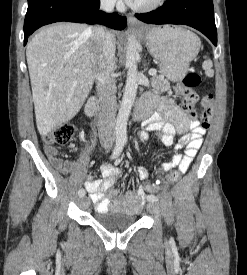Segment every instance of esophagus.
Returning <instances> with one entry per match:
<instances>
[{"label": "esophagus", "mask_w": 247, "mask_h": 275, "mask_svg": "<svg viewBox=\"0 0 247 275\" xmlns=\"http://www.w3.org/2000/svg\"><path fill=\"white\" fill-rule=\"evenodd\" d=\"M127 22L129 26L144 27V25L131 14L127 15Z\"/></svg>", "instance_id": "34e87169"}]
</instances>
